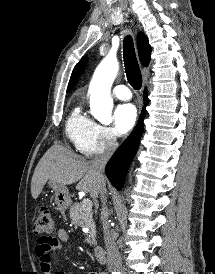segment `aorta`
Returning <instances> with one entry per match:
<instances>
[{
  "mask_svg": "<svg viewBox=\"0 0 215 274\" xmlns=\"http://www.w3.org/2000/svg\"><path fill=\"white\" fill-rule=\"evenodd\" d=\"M118 69L116 58L105 57L96 68L89 86L91 114L103 124L112 122L113 100L110 90Z\"/></svg>",
  "mask_w": 215,
  "mask_h": 274,
  "instance_id": "aorta-1",
  "label": "aorta"
}]
</instances>
